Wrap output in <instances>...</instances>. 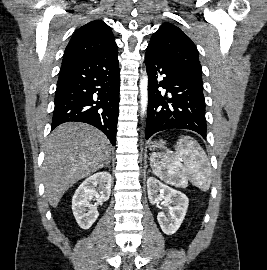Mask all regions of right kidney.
<instances>
[{
  "mask_svg": "<svg viewBox=\"0 0 267 270\" xmlns=\"http://www.w3.org/2000/svg\"><path fill=\"white\" fill-rule=\"evenodd\" d=\"M111 183V174L103 171L89 176L76 190L72 198V211L82 229H89L98 218L97 206L109 199ZM93 197L96 200L94 205L90 204Z\"/></svg>",
  "mask_w": 267,
  "mask_h": 270,
  "instance_id": "right-kidney-1",
  "label": "right kidney"
}]
</instances>
